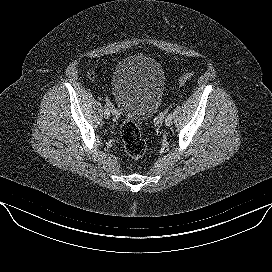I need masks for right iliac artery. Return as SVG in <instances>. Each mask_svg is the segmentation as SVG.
Wrapping results in <instances>:
<instances>
[{"mask_svg":"<svg viewBox=\"0 0 272 272\" xmlns=\"http://www.w3.org/2000/svg\"><path fill=\"white\" fill-rule=\"evenodd\" d=\"M106 109H108V108L105 106L104 110H106ZM105 112H106V111H105Z\"/></svg>","mask_w":272,"mask_h":272,"instance_id":"right-iliac-artery-1","label":"right iliac artery"}]
</instances>
